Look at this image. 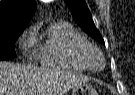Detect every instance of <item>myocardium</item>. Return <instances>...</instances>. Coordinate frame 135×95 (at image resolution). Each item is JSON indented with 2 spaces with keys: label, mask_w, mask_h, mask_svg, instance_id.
I'll list each match as a JSON object with an SVG mask.
<instances>
[{
  "label": "myocardium",
  "mask_w": 135,
  "mask_h": 95,
  "mask_svg": "<svg viewBox=\"0 0 135 95\" xmlns=\"http://www.w3.org/2000/svg\"><path fill=\"white\" fill-rule=\"evenodd\" d=\"M76 53L78 58L81 60V62L87 69H90L92 71H100L105 66V59L103 54L100 52L99 49L89 43L79 46L76 49ZM92 56H97L100 59L101 65L99 67L95 68L91 65L90 58Z\"/></svg>",
  "instance_id": "f54148a6"
}]
</instances>
